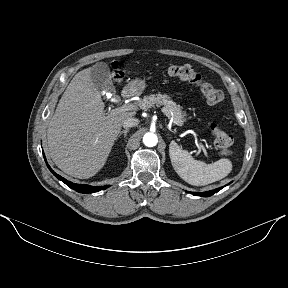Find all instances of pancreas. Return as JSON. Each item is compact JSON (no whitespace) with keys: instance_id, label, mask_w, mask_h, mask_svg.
Masks as SVG:
<instances>
[{"instance_id":"obj_1","label":"pancreas","mask_w":288,"mask_h":288,"mask_svg":"<svg viewBox=\"0 0 288 288\" xmlns=\"http://www.w3.org/2000/svg\"><path fill=\"white\" fill-rule=\"evenodd\" d=\"M163 105L165 114L173 120L176 125L182 126L184 124L185 113L182 112L181 107L173 102L166 94H151L144 96L138 102V106L142 110H148L149 108L160 107Z\"/></svg>"}]
</instances>
